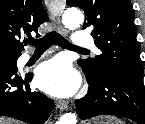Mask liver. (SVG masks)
I'll return each instance as SVG.
<instances>
[{"instance_id": "1", "label": "liver", "mask_w": 145, "mask_h": 124, "mask_svg": "<svg viewBox=\"0 0 145 124\" xmlns=\"http://www.w3.org/2000/svg\"><path fill=\"white\" fill-rule=\"evenodd\" d=\"M0 124H18L13 121H5L4 119L0 118Z\"/></svg>"}]
</instances>
